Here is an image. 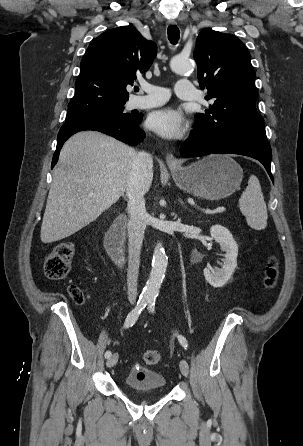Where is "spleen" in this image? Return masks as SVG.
Wrapping results in <instances>:
<instances>
[{"mask_svg":"<svg viewBox=\"0 0 303 446\" xmlns=\"http://www.w3.org/2000/svg\"><path fill=\"white\" fill-rule=\"evenodd\" d=\"M239 208L251 228L255 230L266 228V203L261 191L260 182L255 175H251L248 180V186L239 199Z\"/></svg>","mask_w":303,"mask_h":446,"instance_id":"1","label":"spleen"}]
</instances>
